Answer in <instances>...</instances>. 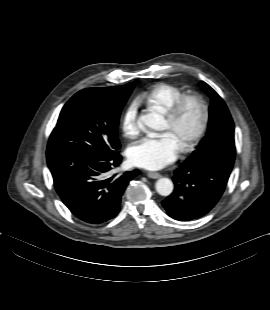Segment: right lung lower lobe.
<instances>
[{"label":"right lung lower lobe","instance_id":"obj_1","mask_svg":"<svg viewBox=\"0 0 270 310\" xmlns=\"http://www.w3.org/2000/svg\"><path fill=\"white\" fill-rule=\"evenodd\" d=\"M121 155L97 154L73 148L47 149V163L55 189L73 215L90 224L114 218L121 197L138 171L109 175L120 164Z\"/></svg>","mask_w":270,"mask_h":310}]
</instances>
